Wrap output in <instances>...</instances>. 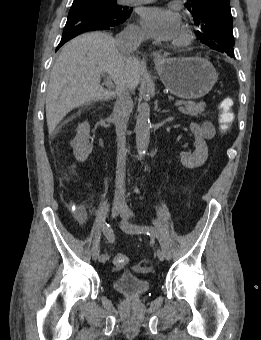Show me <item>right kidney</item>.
Masks as SVG:
<instances>
[{"label": "right kidney", "instance_id": "1", "mask_svg": "<svg viewBox=\"0 0 261 340\" xmlns=\"http://www.w3.org/2000/svg\"><path fill=\"white\" fill-rule=\"evenodd\" d=\"M90 125L88 122H83L79 124L77 128V134L71 146L73 147V152L76 160L79 162H84L88 158L89 154L92 152V145L89 142Z\"/></svg>", "mask_w": 261, "mask_h": 340}]
</instances>
